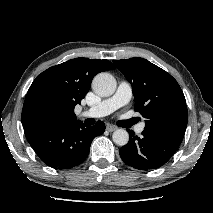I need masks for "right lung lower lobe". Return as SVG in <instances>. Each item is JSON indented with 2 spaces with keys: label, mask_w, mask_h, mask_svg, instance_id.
<instances>
[{
  "label": "right lung lower lobe",
  "mask_w": 213,
  "mask_h": 213,
  "mask_svg": "<svg viewBox=\"0 0 213 213\" xmlns=\"http://www.w3.org/2000/svg\"><path fill=\"white\" fill-rule=\"evenodd\" d=\"M105 131L98 121L87 126L81 121L66 126L29 124L24 126L27 141L39 158L54 169H67L82 163L88 156L92 140Z\"/></svg>",
  "instance_id": "98d812e1"
}]
</instances>
